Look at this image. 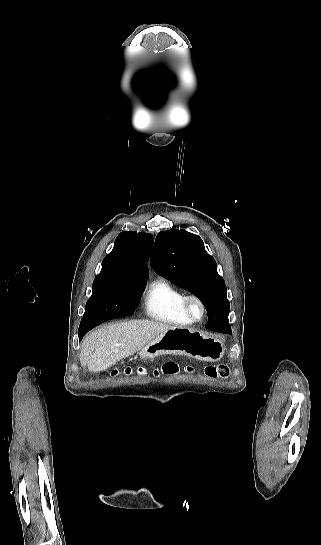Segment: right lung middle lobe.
I'll return each instance as SVG.
<instances>
[{"instance_id": "1", "label": "right lung middle lobe", "mask_w": 321, "mask_h": 545, "mask_svg": "<svg viewBox=\"0 0 321 545\" xmlns=\"http://www.w3.org/2000/svg\"><path fill=\"white\" fill-rule=\"evenodd\" d=\"M145 285L124 286L112 283L106 276H97L92 285V296L87 301L82 323L92 322L98 318L100 308L112 299L121 295L141 297Z\"/></svg>"}]
</instances>
